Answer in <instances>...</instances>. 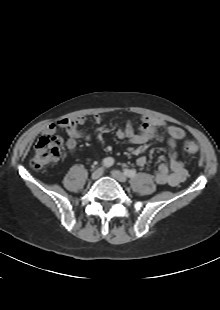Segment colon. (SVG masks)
Segmentation results:
<instances>
[{
	"label": "colon",
	"mask_w": 220,
	"mask_h": 310,
	"mask_svg": "<svg viewBox=\"0 0 220 310\" xmlns=\"http://www.w3.org/2000/svg\"><path fill=\"white\" fill-rule=\"evenodd\" d=\"M62 139L58 136L44 135L40 137L34 147V154L30 161L34 169H41L51 165L60 157ZM183 149L188 155H195L199 151V147L195 141L186 140Z\"/></svg>",
	"instance_id": "obj_1"
}]
</instances>
